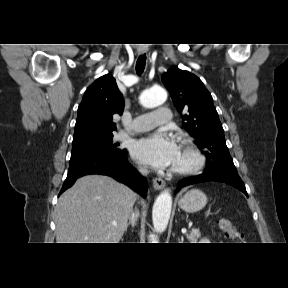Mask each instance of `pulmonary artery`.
I'll return each mask as SVG.
<instances>
[{
  "label": "pulmonary artery",
  "mask_w": 288,
  "mask_h": 288,
  "mask_svg": "<svg viewBox=\"0 0 288 288\" xmlns=\"http://www.w3.org/2000/svg\"><path fill=\"white\" fill-rule=\"evenodd\" d=\"M171 112L168 108H158L153 112H148L138 116L129 129L124 134L137 133L151 130L155 127L166 125L170 122Z\"/></svg>",
  "instance_id": "e3ab8cb5"
}]
</instances>
